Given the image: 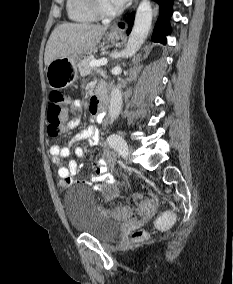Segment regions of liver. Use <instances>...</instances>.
Returning <instances> with one entry per match:
<instances>
[{
	"instance_id": "obj_1",
	"label": "liver",
	"mask_w": 233,
	"mask_h": 284,
	"mask_svg": "<svg viewBox=\"0 0 233 284\" xmlns=\"http://www.w3.org/2000/svg\"><path fill=\"white\" fill-rule=\"evenodd\" d=\"M107 26L64 23L51 33L46 44L44 63L48 66L57 58L93 49L101 40Z\"/></svg>"
}]
</instances>
